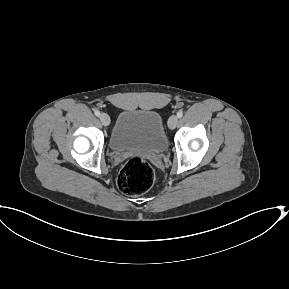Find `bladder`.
<instances>
[{
  "instance_id": "obj_1",
  "label": "bladder",
  "mask_w": 289,
  "mask_h": 289,
  "mask_svg": "<svg viewBox=\"0 0 289 289\" xmlns=\"http://www.w3.org/2000/svg\"><path fill=\"white\" fill-rule=\"evenodd\" d=\"M109 146L114 152L163 154L168 148V138L161 116L145 109L120 112L109 137Z\"/></svg>"
}]
</instances>
